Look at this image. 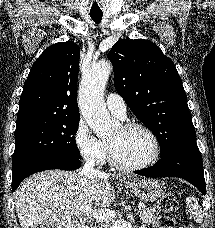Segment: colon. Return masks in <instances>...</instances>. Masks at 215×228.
<instances>
[{
	"label": "colon",
	"mask_w": 215,
	"mask_h": 228,
	"mask_svg": "<svg viewBox=\"0 0 215 228\" xmlns=\"http://www.w3.org/2000/svg\"><path fill=\"white\" fill-rule=\"evenodd\" d=\"M177 209L175 197L172 194H165L158 202V211L160 217L158 219V228H175V223L172 218L165 217L166 212H173Z\"/></svg>",
	"instance_id": "5ec220e1"
}]
</instances>
